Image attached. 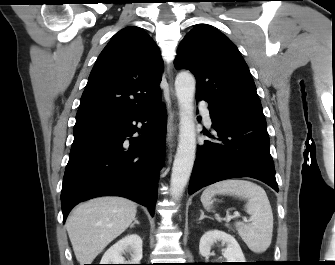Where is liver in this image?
Here are the masks:
<instances>
[{
    "instance_id": "obj_1",
    "label": "liver",
    "mask_w": 335,
    "mask_h": 265,
    "mask_svg": "<svg viewBox=\"0 0 335 265\" xmlns=\"http://www.w3.org/2000/svg\"><path fill=\"white\" fill-rule=\"evenodd\" d=\"M134 202L122 197H99L80 204L66 222V229L80 265L96 256L133 222Z\"/></svg>"
}]
</instances>
